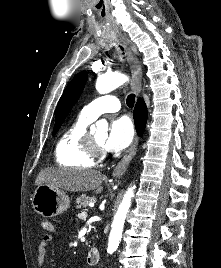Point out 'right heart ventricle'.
I'll list each match as a JSON object with an SVG mask.
<instances>
[{
    "instance_id": "right-heart-ventricle-1",
    "label": "right heart ventricle",
    "mask_w": 221,
    "mask_h": 268,
    "mask_svg": "<svg viewBox=\"0 0 221 268\" xmlns=\"http://www.w3.org/2000/svg\"><path fill=\"white\" fill-rule=\"evenodd\" d=\"M92 120L80 114L59 137L55 148L56 162L65 167L91 168L95 159L86 145L87 128Z\"/></svg>"
}]
</instances>
